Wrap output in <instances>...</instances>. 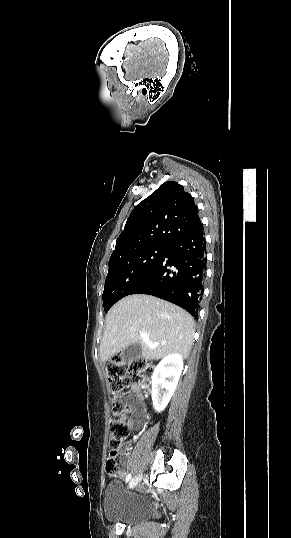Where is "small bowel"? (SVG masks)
<instances>
[{
  "label": "small bowel",
  "instance_id": "obj_1",
  "mask_svg": "<svg viewBox=\"0 0 291 538\" xmlns=\"http://www.w3.org/2000/svg\"><path fill=\"white\" fill-rule=\"evenodd\" d=\"M131 391L135 394V397L132 399L131 404L134 408L133 416L129 421L131 427H139L142 424V420L145 413L144 408V396L141 392V387L138 384H133L130 386ZM123 459H127V454H121ZM124 475V474H122Z\"/></svg>",
  "mask_w": 291,
  "mask_h": 538
}]
</instances>
